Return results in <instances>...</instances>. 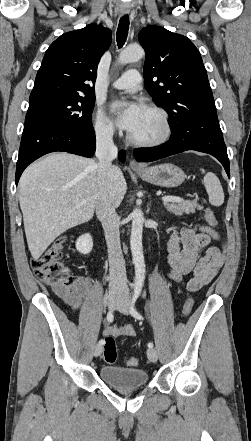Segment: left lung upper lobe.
<instances>
[{
    "label": "left lung upper lobe",
    "mask_w": 251,
    "mask_h": 441,
    "mask_svg": "<svg viewBox=\"0 0 251 441\" xmlns=\"http://www.w3.org/2000/svg\"><path fill=\"white\" fill-rule=\"evenodd\" d=\"M138 39L146 52L144 85L168 113L171 129L194 115L217 116L200 52L187 37L147 26Z\"/></svg>",
    "instance_id": "1"
}]
</instances>
